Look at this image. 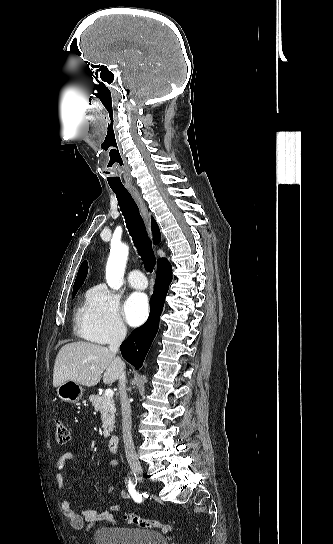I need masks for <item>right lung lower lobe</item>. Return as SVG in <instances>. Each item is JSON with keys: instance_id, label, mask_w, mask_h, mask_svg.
Here are the masks:
<instances>
[{"instance_id": "1", "label": "right lung lower lobe", "mask_w": 333, "mask_h": 544, "mask_svg": "<svg viewBox=\"0 0 333 544\" xmlns=\"http://www.w3.org/2000/svg\"><path fill=\"white\" fill-rule=\"evenodd\" d=\"M172 280L170 264L160 267L154 292L150 299V315L144 325L135 330L120 346L122 357L137 370L142 366L145 356L159 327L168 286Z\"/></svg>"}]
</instances>
